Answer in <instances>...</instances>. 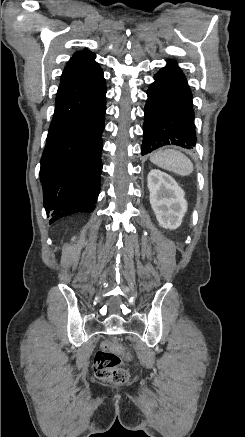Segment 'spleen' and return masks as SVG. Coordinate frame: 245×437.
Masks as SVG:
<instances>
[{"label":"spleen","instance_id":"obj_1","mask_svg":"<svg viewBox=\"0 0 245 437\" xmlns=\"http://www.w3.org/2000/svg\"><path fill=\"white\" fill-rule=\"evenodd\" d=\"M153 164L163 169L187 176L193 172L192 161L180 151L174 149H159L150 156Z\"/></svg>","mask_w":245,"mask_h":437}]
</instances>
